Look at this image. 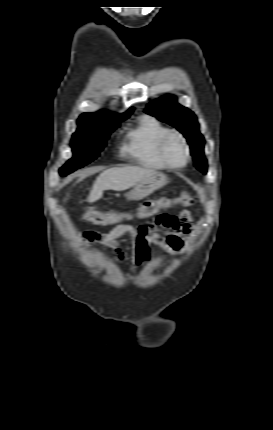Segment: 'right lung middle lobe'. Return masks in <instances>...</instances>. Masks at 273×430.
<instances>
[{
	"label": "right lung middle lobe",
	"instance_id": "obj_1",
	"mask_svg": "<svg viewBox=\"0 0 273 430\" xmlns=\"http://www.w3.org/2000/svg\"><path fill=\"white\" fill-rule=\"evenodd\" d=\"M78 125L71 143L74 157L60 168L61 176H65L96 159L105 147L106 140L119 127L120 123L99 124L78 121Z\"/></svg>",
	"mask_w": 273,
	"mask_h": 430
}]
</instances>
